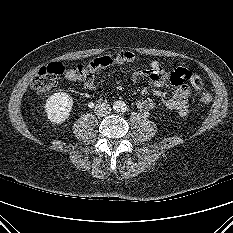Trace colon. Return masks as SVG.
<instances>
[{
  "mask_svg": "<svg viewBox=\"0 0 233 233\" xmlns=\"http://www.w3.org/2000/svg\"><path fill=\"white\" fill-rule=\"evenodd\" d=\"M101 63L99 58H95L88 64H79L67 72V77L72 80H85L92 76L98 65ZM65 73V67L61 63H52L40 69L32 81V88L41 96L48 95L56 85L60 76ZM186 80L199 89L202 85L198 75L192 72L186 74ZM212 101L211 94L204 92L201 95V102L205 105Z\"/></svg>",
  "mask_w": 233,
  "mask_h": 233,
  "instance_id": "colon-1",
  "label": "colon"
}]
</instances>
